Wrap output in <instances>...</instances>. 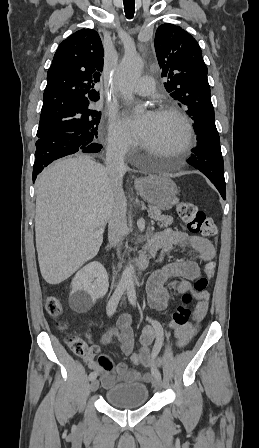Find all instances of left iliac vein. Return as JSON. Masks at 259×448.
I'll use <instances>...</instances> for the list:
<instances>
[{"mask_svg": "<svg viewBox=\"0 0 259 448\" xmlns=\"http://www.w3.org/2000/svg\"><path fill=\"white\" fill-rule=\"evenodd\" d=\"M153 386L155 389L160 390L162 388V381L160 378H154L153 379Z\"/></svg>", "mask_w": 259, "mask_h": 448, "instance_id": "4c4485c4", "label": "left iliac vein"}]
</instances>
